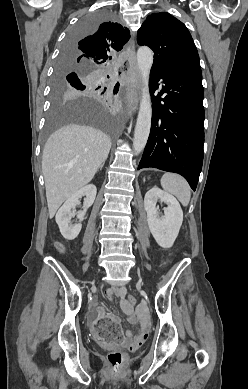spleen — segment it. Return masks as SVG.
Instances as JSON below:
<instances>
[{"label": "spleen", "instance_id": "obj_1", "mask_svg": "<svg viewBox=\"0 0 248 389\" xmlns=\"http://www.w3.org/2000/svg\"><path fill=\"white\" fill-rule=\"evenodd\" d=\"M161 186L166 192L176 196L183 206L189 204L190 186L182 176L175 173H165L161 178Z\"/></svg>", "mask_w": 248, "mask_h": 389}]
</instances>
